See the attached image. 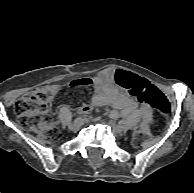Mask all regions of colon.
<instances>
[{"mask_svg":"<svg viewBox=\"0 0 194 193\" xmlns=\"http://www.w3.org/2000/svg\"><path fill=\"white\" fill-rule=\"evenodd\" d=\"M116 79L138 99L142 106L149 105L160 115L169 112V102L154 86L145 83V87H140L138 79L123 71L117 72ZM89 85L90 80L84 78L67 84L42 87L25 94L14 105L18 124L25 130L37 132L46 142H57L61 138V132L49 116V103L66 87L85 89ZM146 136L147 133L144 131L138 133L139 138Z\"/></svg>","mask_w":194,"mask_h":193,"instance_id":"1","label":"colon"}]
</instances>
